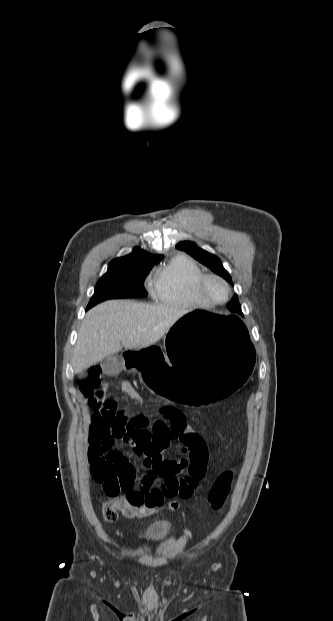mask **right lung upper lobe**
Masks as SVG:
<instances>
[{
	"label": "right lung upper lobe",
	"mask_w": 333,
	"mask_h": 621,
	"mask_svg": "<svg viewBox=\"0 0 333 621\" xmlns=\"http://www.w3.org/2000/svg\"><path fill=\"white\" fill-rule=\"evenodd\" d=\"M162 258H163L162 255H152L136 247L133 249L132 253L124 257L116 258L112 260L110 263H129V264H140V265H146V266H153L155 264H158Z\"/></svg>",
	"instance_id": "1"
}]
</instances>
